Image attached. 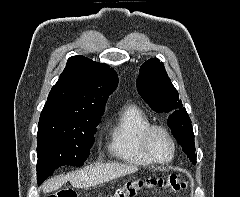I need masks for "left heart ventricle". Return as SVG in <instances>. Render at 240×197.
Listing matches in <instances>:
<instances>
[{
    "instance_id": "1",
    "label": "left heart ventricle",
    "mask_w": 240,
    "mask_h": 197,
    "mask_svg": "<svg viewBox=\"0 0 240 197\" xmlns=\"http://www.w3.org/2000/svg\"><path fill=\"white\" fill-rule=\"evenodd\" d=\"M150 146L159 160H167L172 153V146L167 136L161 131H155L150 138Z\"/></svg>"
}]
</instances>
